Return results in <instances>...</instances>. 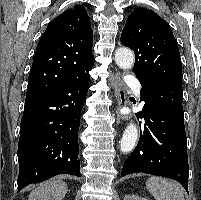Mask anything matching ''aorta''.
<instances>
[{"label": "aorta", "instance_id": "aorta-1", "mask_svg": "<svg viewBox=\"0 0 201 200\" xmlns=\"http://www.w3.org/2000/svg\"><path fill=\"white\" fill-rule=\"evenodd\" d=\"M135 57L128 48H119L115 52V62L123 70H130L134 65ZM138 138V129L135 123H130L122 135L120 149L123 153H128L135 147Z\"/></svg>", "mask_w": 201, "mask_h": 200}]
</instances>
